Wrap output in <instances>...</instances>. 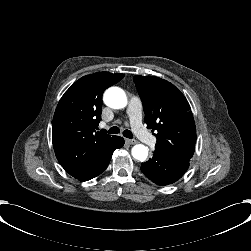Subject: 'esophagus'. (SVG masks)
<instances>
[{"label":"esophagus","instance_id":"34e87169","mask_svg":"<svg viewBox=\"0 0 251 251\" xmlns=\"http://www.w3.org/2000/svg\"><path fill=\"white\" fill-rule=\"evenodd\" d=\"M126 142L130 145H133V144H137L138 141L134 140V139H126Z\"/></svg>","mask_w":251,"mask_h":251}]
</instances>
